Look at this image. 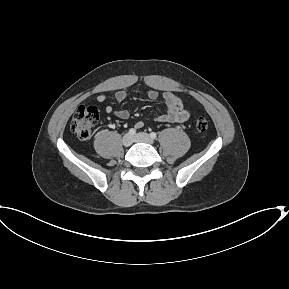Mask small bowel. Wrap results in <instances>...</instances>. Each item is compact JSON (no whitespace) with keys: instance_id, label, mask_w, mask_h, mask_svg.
<instances>
[{"instance_id":"small-bowel-1","label":"small bowel","mask_w":289,"mask_h":289,"mask_svg":"<svg viewBox=\"0 0 289 289\" xmlns=\"http://www.w3.org/2000/svg\"><path fill=\"white\" fill-rule=\"evenodd\" d=\"M151 100L159 98V94L155 90H149L147 93ZM127 92L124 90H118L114 93V98L117 102H122L126 99ZM166 105V112L156 118L159 122H185L190 116L189 108L183 103V101L172 92H165L161 96ZM96 100L103 103L107 100L106 95L100 94L96 97ZM106 113H114L120 119H128L130 117V111L126 109L114 110L111 105L106 106ZM144 126V122L140 121L136 124L137 128Z\"/></svg>"}]
</instances>
